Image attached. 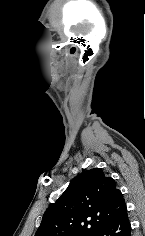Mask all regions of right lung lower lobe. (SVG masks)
Wrapping results in <instances>:
<instances>
[{"label": "right lung lower lobe", "instance_id": "98d812e1", "mask_svg": "<svg viewBox=\"0 0 145 236\" xmlns=\"http://www.w3.org/2000/svg\"><path fill=\"white\" fill-rule=\"evenodd\" d=\"M93 236H131V224L125 207Z\"/></svg>", "mask_w": 145, "mask_h": 236}]
</instances>
